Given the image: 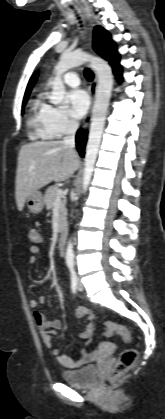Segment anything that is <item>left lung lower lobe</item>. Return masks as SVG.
Masks as SVG:
<instances>
[{
	"mask_svg": "<svg viewBox=\"0 0 165 419\" xmlns=\"http://www.w3.org/2000/svg\"><path fill=\"white\" fill-rule=\"evenodd\" d=\"M119 56L117 55L111 62L110 65L113 68V72L116 75L117 79L120 81L121 80V73H122V68L119 64Z\"/></svg>",
	"mask_w": 165,
	"mask_h": 419,
	"instance_id": "1",
	"label": "left lung lower lobe"
}]
</instances>
